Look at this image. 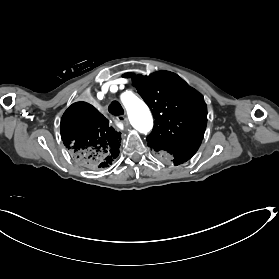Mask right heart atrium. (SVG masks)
Instances as JSON below:
<instances>
[{
	"mask_svg": "<svg viewBox=\"0 0 279 279\" xmlns=\"http://www.w3.org/2000/svg\"><path fill=\"white\" fill-rule=\"evenodd\" d=\"M92 106L97 107V105L95 103H92Z\"/></svg>",
	"mask_w": 279,
	"mask_h": 279,
	"instance_id": "1",
	"label": "right heart atrium"
}]
</instances>
